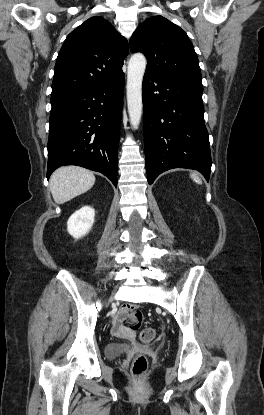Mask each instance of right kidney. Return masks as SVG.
Returning <instances> with one entry per match:
<instances>
[{
    "label": "right kidney",
    "instance_id": "ca27d5eb",
    "mask_svg": "<svg viewBox=\"0 0 264 415\" xmlns=\"http://www.w3.org/2000/svg\"><path fill=\"white\" fill-rule=\"evenodd\" d=\"M95 211L90 206H84L74 212L67 222L70 235L78 239L85 236L94 224Z\"/></svg>",
    "mask_w": 264,
    "mask_h": 415
}]
</instances>
